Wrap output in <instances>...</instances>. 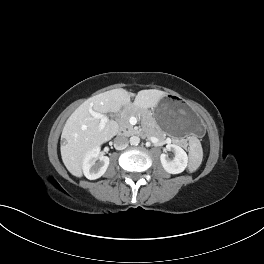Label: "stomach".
<instances>
[{"label":"stomach","mask_w":264,"mask_h":264,"mask_svg":"<svg viewBox=\"0 0 264 264\" xmlns=\"http://www.w3.org/2000/svg\"><path fill=\"white\" fill-rule=\"evenodd\" d=\"M152 117L162 131L175 136H201L205 132V125L177 95H167L152 111Z\"/></svg>","instance_id":"stomach-1"}]
</instances>
